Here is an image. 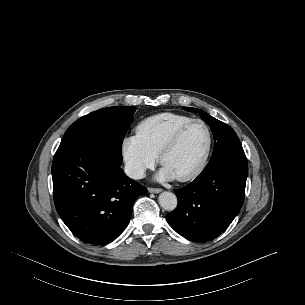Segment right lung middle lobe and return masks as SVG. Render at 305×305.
<instances>
[{"label":"right lung middle lobe","instance_id":"1","mask_svg":"<svg viewBox=\"0 0 305 305\" xmlns=\"http://www.w3.org/2000/svg\"><path fill=\"white\" fill-rule=\"evenodd\" d=\"M134 106H116L91 112L75 121L65 132L56 153L99 145L122 161V142L133 122Z\"/></svg>","mask_w":305,"mask_h":305}]
</instances>
